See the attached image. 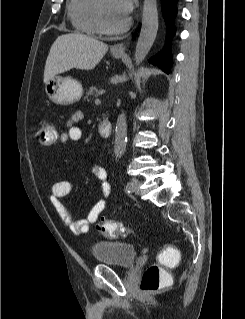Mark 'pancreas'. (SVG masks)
Returning a JSON list of instances; mask_svg holds the SVG:
<instances>
[{
	"mask_svg": "<svg viewBox=\"0 0 245 319\" xmlns=\"http://www.w3.org/2000/svg\"><path fill=\"white\" fill-rule=\"evenodd\" d=\"M98 95V88L96 86H91L89 90L86 91L85 99L89 100Z\"/></svg>",
	"mask_w": 245,
	"mask_h": 319,
	"instance_id": "pancreas-1",
	"label": "pancreas"
}]
</instances>
